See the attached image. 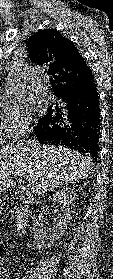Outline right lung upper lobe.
Masks as SVG:
<instances>
[{
    "instance_id": "1",
    "label": "right lung upper lobe",
    "mask_w": 113,
    "mask_h": 279,
    "mask_svg": "<svg viewBox=\"0 0 113 279\" xmlns=\"http://www.w3.org/2000/svg\"><path fill=\"white\" fill-rule=\"evenodd\" d=\"M30 60L45 69L50 76L54 94L57 96L75 86L90 71L72 41L59 31H38L27 42Z\"/></svg>"
}]
</instances>
